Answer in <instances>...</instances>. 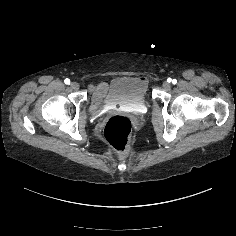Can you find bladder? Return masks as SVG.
Returning <instances> with one entry per match:
<instances>
[{"label": "bladder", "mask_w": 236, "mask_h": 236, "mask_svg": "<svg viewBox=\"0 0 236 236\" xmlns=\"http://www.w3.org/2000/svg\"><path fill=\"white\" fill-rule=\"evenodd\" d=\"M147 82L139 77L117 76L105 86V97L108 101L120 106H129L147 102Z\"/></svg>", "instance_id": "31cf9c89"}]
</instances>
